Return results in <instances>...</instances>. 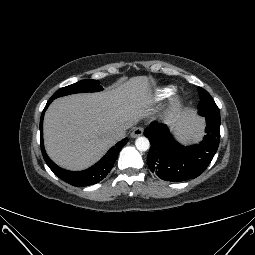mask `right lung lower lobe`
<instances>
[{"label": "right lung lower lobe", "instance_id": "right-lung-lower-lobe-1", "mask_svg": "<svg viewBox=\"0 0 255 255\" xmlns=\"http://www.w3.org/2000/svg\"><path fill=\"white\" fill-rule=\"evenodd\" d=\"M53 100H49L43 110V113L41 115V120H40V139H41V151L43 158L49 168L62 180L65 182L69 183L70 185L73 186H90L93 184L98 183L102 179H104L107 174L110 172L112 169L117 156L122 149V147L127 143L128 139L125 138L118 142L114 147H112L106 155L94 166L90 167L87 170L80 171V172H71L64 170L57 166L46 154L44 145H43V117H44V111L47 109L49 104Z\"/></svg>", "mask_w": 255, "mask_h": 255}]
</instances>
